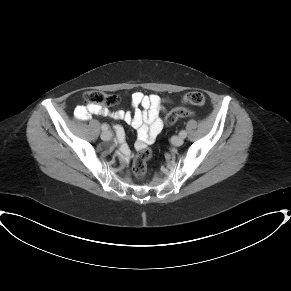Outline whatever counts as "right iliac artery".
<instances>
[{
    "mask_svg": "<svg viewBox=\"0 0 291 291\" xmlns=\"http://www.w3.org/2000/svg\"><path fill=\"white\" fill-rule=\"evenodd\" d=\"M103 131H107L108 130V126L106 124H102L101 126Z\"/></svg>",
    "mask_w": 291,
    "mask_h": 291,
    "instance_id": "obj_1",
    "label": "right iliac artery"
}]
</instances>
